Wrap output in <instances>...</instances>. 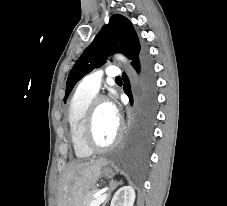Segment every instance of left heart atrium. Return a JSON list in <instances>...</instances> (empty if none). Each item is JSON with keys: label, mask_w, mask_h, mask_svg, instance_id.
Segmentation results:
<instances>
[{"label": "left heart atrium", "mask_w": 227, "mask_h": 206, "mask_svg": "<svg viewBox=\"0 0 227 206\" xmlns=\"http://www.w3.org/2000/svg\"><path fill=\"white\" fill-rule=\"evenodd\" d=\"M106 104H107L109 114L116 122H118L119 111H118L117 105L113 101H108Z\"/></svg>", "instance_id": "obj_1"}]
</instances>
